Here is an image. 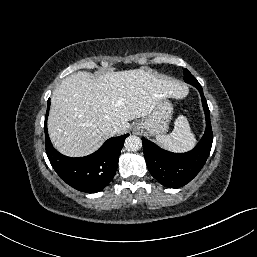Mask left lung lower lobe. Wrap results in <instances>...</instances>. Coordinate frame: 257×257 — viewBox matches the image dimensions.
I'll return each mask as SVG.
<instances>
[{
	"label": "left lung lower lobe",
	"mask_w": 257,
	"mask_h": 257,
	"mask_svg": "<svg viewBox=\"0 0 257 257\" xmlns=\"http://www.w3.org/2000/svg\"><path fill=\"white\" fill-rule=\"evenodd\" d=\"M200 92L206 118V131L198 145L186 153H172L142 138L144 157L152 176L168 188H179L189 183L204 166L212 147L213 134L210 111L200 84Z\"/></svg>",
	"instance_id": "1"
}]
</instances>
